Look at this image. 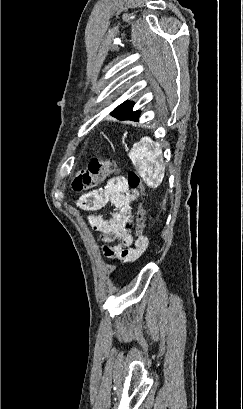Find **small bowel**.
Wrapping results in <instances>:
<instances>
[{"label": "small bowel", "mask_w": 243, "mask_h": 409, "mask_svg": "<svg viewBox=\"0 0 243 409\" xmlns=\"http://www.w3.org/2000/svg\"><path fill=\"white\" fill-rule=\"evenodd\" d=\"M138 196V191L130 189L125 178L118 177L109 181L103 188L80 198L79 205L87 210H98L108 203L115 207L108 218L94 214L88 217L90 226L101 235L104 243L116 242L114 246L103 247L107 258L130 263L136 261L147 249L148 239L143 237L139 243L131 233L133 222L131 204Z\"/></svg>", "instance_id": "c3829d8e"}]
</instances>
